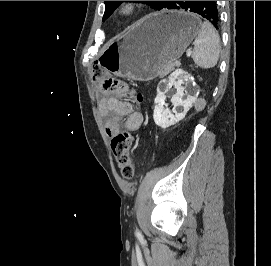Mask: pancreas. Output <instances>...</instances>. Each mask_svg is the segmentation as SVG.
<instances>
[{
    "mask_svg": "<svg viewBox=\"0 0 271 266\" xmlns=\"http://www.w3.org/2000/svg\"><path fill=\"white\" fill-rule=\"evenodd\" d=\"M176 67H178L176 62H172L167 64L164 69L161 71L160 76H165L167 75L169 72L173 71Z\"/></svg>",
    "mask_w": 271,
    "mask_h": 266,
    "instance_id": "obj_1",
    "label": "pancreas"
}]
</instances>
